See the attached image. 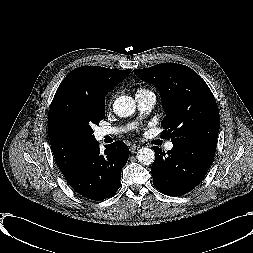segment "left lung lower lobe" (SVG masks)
<instances>
[{
	"mask_svg": "<svg viewBox=\"0 0 253 253\" xmlns=\"http://www.w3.org/2000/svg\"><path fill=\"white\" fill-rule=\"evenodd\" d=\"M151 167L154 186L169 196H180L195 188L206 175L216 145L207 142L173 143L167 153L154 146Z\"/></svg>",
	"mask_w": 253,
	"mask_h": 253,
	"instance_id": "left-lung-lower-lobe-1",
	"label": "left lung lower lobe"
}]
</instances>
